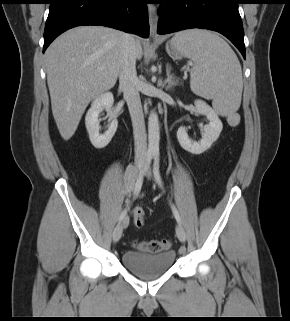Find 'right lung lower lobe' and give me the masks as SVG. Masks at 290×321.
<instances>
[{"label": "right lung lower lobe", "mask_w": 290, "mask_h": 321, "mask_svg": "<svg viewBox=\"0 0 290 321\" xmlns=\"http://www.w3.org/2000/svg\"><path fill=\"white\" fill-rule=\"evenodd\" d=\"M147 0H51L43 52L64 31L80 25H102L147 38Z\"/></svg>", "instance_id": "right-lung-lower-lobe-1"}]
</instances>
